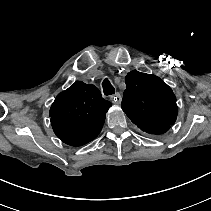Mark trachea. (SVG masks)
Segmentation results:
<instances>
[{"label": "trachea", "mask_w": 211, "mask_h": 211, "mask_svg": "<svg viewBox=\"0 0 211 211\" xmlns=\"http://www.w3.org/2000/svg\"><path fill=\"white\" fill-rule=\"evenodd\" d=\"M103 92L106 96L113 95L115 93V88L111 84L108 78H105L102 82Z\"/></svg>", "instance_id": "1"}]
</instances>
